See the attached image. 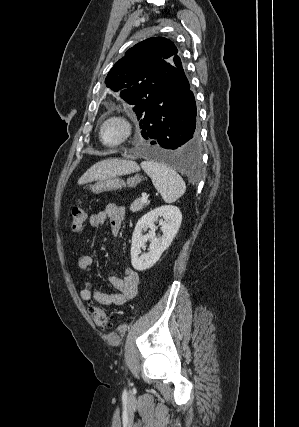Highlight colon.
I'll return each instance as SVG.
<instances>
[{
  "instance_id": "5ec220e1",
  "label": "colon",
  "mask_w": 299,
  "mask_h": 427,
  "mask_svg": "<svg viewBox=\"0 0 299 427\" xmlns=\"http://www.w3.org/2000/svg\"><path fill=\"white\" fill-rule=\"evenodd\" d=\"M85 220H86V212H85L84 206L82 205L81 201H77L71 209L70 229L76 233L80 232L83 228ZM90 312L95 324L99 328L103 330H108L110 328L111 326L110 317L103 309H101L96 305H92L90 307Z\"/></svg>"
}]
</instances>
